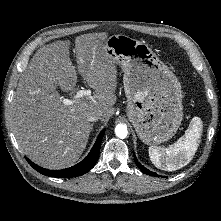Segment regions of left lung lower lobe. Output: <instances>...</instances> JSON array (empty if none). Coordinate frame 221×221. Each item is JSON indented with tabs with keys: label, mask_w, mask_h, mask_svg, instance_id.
I'll return each mask as SVG.
<instances>
[{
	"label": "left lung lower lobe",
	"mask_w": 221,
	"mask_h": 221,
	"mask_svg": "<svg viewBox=\"0 0 221 221\" xmlns=\"http://www.w3.org/2000/svg\"><path fill=\"white\" fill-rule=\"evenodd\" d=\"M134 160H135L137 166L139 167V169H140L143 173H145V174H147V175H149V176H156V175H157L156 173H154V172H152V171H149L147 168H145L144 166H142V165L137 161L135 155H134ZM158 176H159V175H158Z\"/></svg>",
	"instance_id": "1"
}]
</instances>
